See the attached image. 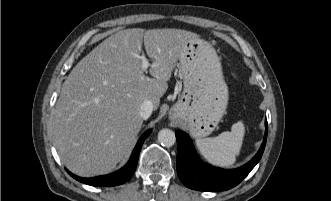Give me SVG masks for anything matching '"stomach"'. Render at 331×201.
<instances>
[{
    "label": "stomach",
    "mask_w": 331,
    "mask_h": 201,
    "mask_svg": "<svg viewBox=\"0 0 331 201\" xmlns=\"http://www.w3.org/2000/svg\"><path fill=\"white\" fill-rule=\"evenodd\" d=\"M179 62L184 89L171 119L184 124L192 137H206L217 127L228 104L220 59L210 43L194 38L186 44Z\"/></svg>",
    "instance_id": "0dacf381"
}]
</instances>
